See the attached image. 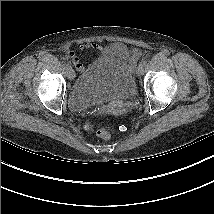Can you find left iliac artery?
Returning <instances> with one entry per match:
<instances>
[{"label":"left iliac artery","mask_w":214,"mask_h":214,"mask_svg":"<svg viewBox=\"0 0 214 214\" xmlns=\"http://www.w3.org/2000/svg\"><path fill=\"white\" fill-rule=\"evenodd\" d=\"M140 64H143L144 66L147 64L146 60H142Z\"/></svg>","instance_id":"44dca946"}]
</instances>
